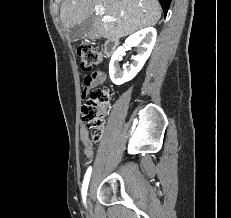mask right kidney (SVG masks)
I'll list each match as a JSON object with an SVG mask.
<instances>
[{
  "label": "right kidney",
  "mask_w": 231,
  "mask_h": 218,
  "mask_svg": "<svg viewBox=\"0 0 231 218\" xmlns=\"http://www.w3.org/2000/svg\"><path fill=\"white\" fill-rule=\"evenodd\" d=\"M156 35L157 32L153 27L142 29L129 36L126 39L125 44L116 50L109 64V74L114 84L121 85L130 81L137 75L151 54L156 42ZM141 41L143 42L141 49L138 50L137 55L132 57L133 62L128 65V67L125 65L123 69H121L119 67V62L124 55V52L128 50L130 46L137 45Z\"/></svg>",
  "instance_id": "obj_1"
}]
</instances>
